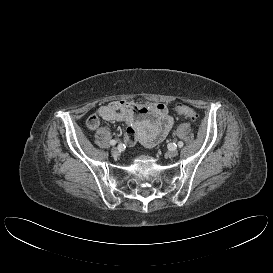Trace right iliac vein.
<instances>
[{"instance_id":"right-iliac-vein-1","label":"right iliac vein","mask_w":273,"mask_h":273,"mask_svg":"<svg viewBox=\"0 0 273 273\" xmlns=\"http://www.w3.org/2000/svg\"><path fill=\"white\" fill-rule=\"evenodd\" d=\"M111 153H112L113 156H118L119 155V149L116 148V147H113L111 149Z\"/></svg>"}]
</instances>
